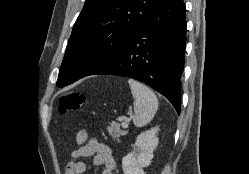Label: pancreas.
Masks as SVG:
<instances>
[{"label": "pancreas", "mask_w": 249, "mask_h": 174, "mask_svg": "<svg viewBox=\"0 0 249 174\" xmlns=\"http://www.w3.org/2000/svg\"><path fill=\"white\" fill-rule=\"evenodd\" d=\"M107 129H108L109 134H110L113 138H115V139H117V140H119L120 136H123V135L126 134V132H125L124 130H121V129H120V125L117 124V123H115V124H110V125L107 127Z\"/></svg>", "instance_id": "obj_1"}]
</instances>
